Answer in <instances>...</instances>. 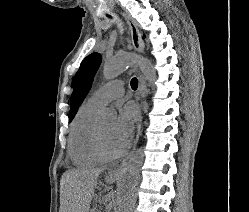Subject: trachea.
I'll return each mask as SVG.
<instances>
[{
    "instance_id": "1",
    "label": "trachea",
    "mask_w": 249,
    "mask_h": 212,
    "mask_svg": "<svg viewBox=\"0 0 249 212\" xmlns=\"http://www.w3.org/2000/svg\"><path fill=\"white\" fill-rule=\"evenodd\" d=\"M130 84H131L132 89L136 90L137 87H138V80H137V78H132Z\"/></svg>"
}]
</instances>
